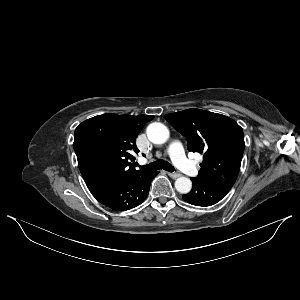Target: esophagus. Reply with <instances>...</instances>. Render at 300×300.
Wrapping results in <instances>:
<instances>
[{
	"label": "esophagus",
	"instance_id": "1",
	"mask_svg": "<svg viewBox=\"0 0 300 300\" xmlns=\"http://www.w3.org/2000/svg\"><path fill=\"white\" fill-rule=\"evenodd\" d=\"M168 175L173 179H177L181 176V174L179 173H171V172H168Z\"/></svg>",
	"mask_w": 300,
	"mask_h": 300
}]
</instances>
